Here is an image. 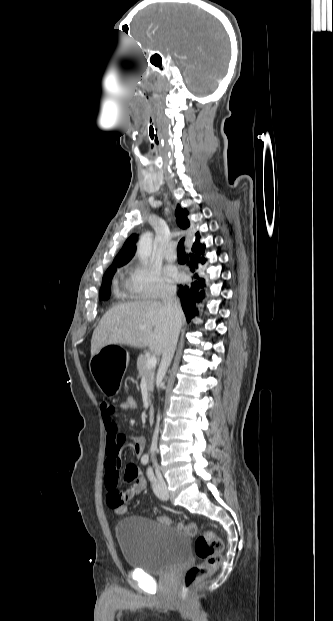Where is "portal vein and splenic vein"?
Returning a JSON list of instances; mask_svg holds the SVG:
<instances>
[{
  "label": "portal vein and splenic vein",
  "instance_id": "portal-vein-and-splenic-vein-1",
  "mask_svg": "<svg viewBox=\"0 0 333 621\" xmlns=\"http://www.w3.org/2000/svg\"><path fill=\"white\" fill-rule=\"evenodd\" d=\"M157 363V359L155 356H151L147 359V367L152 368L155 367Z\"/></svg>",
  "mask_w": 333,
  "mask_h": 621
}]
</instances>
